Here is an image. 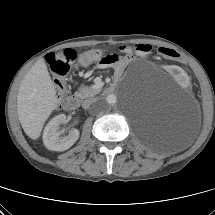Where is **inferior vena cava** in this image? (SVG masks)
<instances>
[{"instance_id": "inferior-vena-cava-1", "label": "inferior vena cava", "mask_w": 215, "mask_h": 215, "mask_svg": "<svg viewBox=\"0 0 215 215\" xmlns=\"http://www.w3.org/2000/svg\"><path fill=\"white\" fill-rule=\"evenodd\" d=\"M91 105L97 107L99 105L97 99H87L82 104L83 108L85 109L89 108Z\"/></svg>"}]
</instances>
